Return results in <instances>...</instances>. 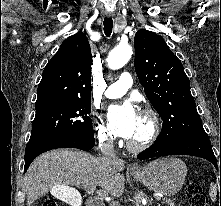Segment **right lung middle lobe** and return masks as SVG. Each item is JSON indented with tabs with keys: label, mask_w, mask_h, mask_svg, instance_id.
<instances>
[{
	"label": "right lung middle lobe",
	"mask_w": 221,
	"mask_h": 206,
	"mask_svg": "<svg viewBox=\"0 0 221 206\" xmlns=\"http://www.w3.org/2000/svg\"><path fill=\"white\" fill-rule=\"evenodd\" d=\"M91 103H53L36 107L30 140L50 136L94 135Z\"/></svg>",
	"instance_id": "obj_1"
}]
</instances>
